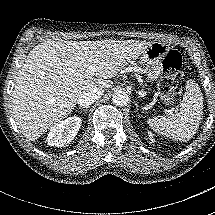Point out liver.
Wrapping results in <instances>:
<instances>
[{
	"label": "liver",
	"mask_w": 215,
	"mask_h": 215,
	"mask_svg": "<svg viewBox=\"0 0 215 215\" xmlns=\"http://www.w3.org/2000/svg\"><path fill=\"white\" fill-rule=\"evenodd\" d=\"M150 42L105 39L46 41L27 55L12 93L13 115L21 133L35 141L67 117L78 97L112 87L118 72L136 60ZM96 67L93 78L87 68Z\"/></svg>",
	"instance_id": "1"
}]
</instances>
